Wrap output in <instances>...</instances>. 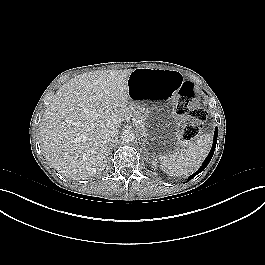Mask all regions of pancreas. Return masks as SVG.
<instances>
[{
    "label": "pancreas",
    "instance_id": "pancreas-1",
    "mask_svg": "<svg viewBox=\"0 0 265 265\" xmlns=\"http://www.w3.org/2000/svg\"><path fill=\"white\" fill-rule=\"evenodd\" d=\"M135 119H136V125L143 130L144 126L141 124L142 123V115L140 112H135Z\"/></svg>",
    "mask_w": 265,
    "mask_h": 265
}]
</instances>
